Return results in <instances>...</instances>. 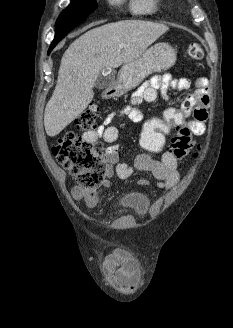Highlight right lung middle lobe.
<instances>
[{"instance_id": "obj_1", "label": "right lung middle lobe", "mask_w": 233, "mask_h": 328, "mask_svg": "<svg viewBox=\"0 0 233 328\" xmlns=\"http://www.w3.org/2000/svg\"><path fill=\"white\" fill-rule=\"evenodd\" d=\"M96 8V0H72L68 8L60 14L57 22L83 21Z\"/></svg>"}]
</instances>
